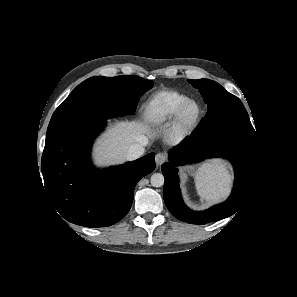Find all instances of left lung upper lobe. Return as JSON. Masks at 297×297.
I'll return each instance as SVG.
<instances>
[{
	"instance_id": "1",
	"label": "left lung upper lobe",
	"mask_w": 297,
	"mask_h": 297,
	"mask_svg": "<svg viewBox=\"0 0 297 297\" xmlns=\"http://www.w3.org/2000/svg\"><path fill=\"white\" fill-rule=\"evenodd\" d=\"M189 83L199 90L208 105L206 116L195 129L199 136L234 132L256 140L248 113L238 97L209 79L189 80Z\"/></svg>"
}]
</instances>
